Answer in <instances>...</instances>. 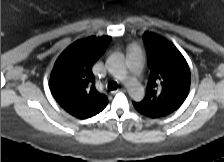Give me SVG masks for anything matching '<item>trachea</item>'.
<instances>
[{"mask_svg":"<svg viewBox=\"0 0 224 162\" xmlns=\"http://www.w3.org/2000/svg\"><path fill=\"white\" fill-rule=\"evenodd\" d=\"M118 88V84L115 81H111L108 83V90L112 91V90H116Z\"/></svg>","mask_w":224,"mask_h":162,"instance_id":"obj_1","label":"trachea"}]
</instances>
